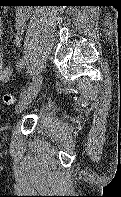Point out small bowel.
Returning <instances> with one entry per match:
<instances>
[{"mask_svg":"<svg viewBox=\"0 0 121 197\" xmlns=\"http://www.w3.org/2000/svg\"><path fill=\"white\" fill-rule=\"evenodd\" d=\"M30 11L27 8L18 7L15 11V37H14V45L19 47L21 44V36L25 30L27 20L29 19ZM2 36V19L0 16V38ZM13 73V69L10 66L3 65V58L0 49V83H5L9 81L11 75Z\"/></svg>","mask_w":121,"mask_h":197,"instance_id":"small-bowel-1","label":"small bowel"}]
</instances>
